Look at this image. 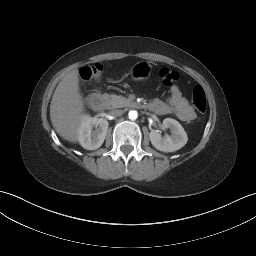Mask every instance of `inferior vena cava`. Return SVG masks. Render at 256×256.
<instances>
[{
	"mask_svg": "<svg viewBox=\"0 0 256 256\" xmlns=\"http://www.w3.org/2000/svg\"><path fill=\"white\" fill-rule=\"evenodd\" d=\"M123 113H124L123 110H119V109H115V110L111 111V114L114 115V116H120Z\"/></svg>",
	"mask_w": 256,
	"mask_h": 256,
	"instance_id": "602c4592",
	"label": "inferior vena cava"
}]
</instances>
